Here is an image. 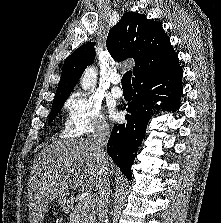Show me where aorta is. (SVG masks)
Masks as SVG:
<instances>
[{
	"label": "aorta",
	"instance_id": "762f6f07",
	"mask_svg": "<svg viewBox=\"0 0 221 223\" xmlns=\"http://www.w3.org/2000/svg\"><path fill=\"white\" fill-rule=\"evenodd\" d=\"M97 82V70L94 66L88 67L82 75L80 84L82 89L88 90Z\"/></svg>",
	"mask_w": 221,
	"mask_h": 223
}]
</instances>
